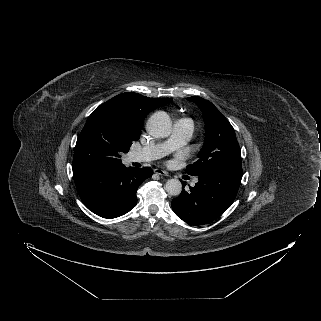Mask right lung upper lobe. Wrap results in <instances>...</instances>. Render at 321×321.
Instances as JSON below:
<instances>
[{"mask_svg":"<svg viewBox=\"0 0 321 321\" xmlns=\"http://www.w3.org/2000/svg\"><path fill=\"white\" fill-rule=\"evenodd\" d=\"M170 101L169 98H149L132 92L122 93L100 105L94 112L108 114L120 127L138 140L147 114Z\"/></svg>","mask_w":321,"mask_h":321,"instance_id":"1","label":"right lung upper lobe"}]
</instances>
